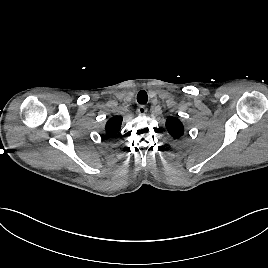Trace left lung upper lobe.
<instances>
[{"mask_svg":"<svg viewBox=\"0 0 268 268\" xmlns=\"http://www.w3.org/2000/svg\"><path fill=\"white\" fill-rule=\"evenodd\" d=\"M166 128L175 139H179L184 134V126L176 117H168L166 119Z\"/></svg>","mask_w":268,"mask_h":268,"instance_id":"1","label":"left lung upper lobe"}]
</instances>
